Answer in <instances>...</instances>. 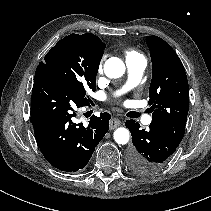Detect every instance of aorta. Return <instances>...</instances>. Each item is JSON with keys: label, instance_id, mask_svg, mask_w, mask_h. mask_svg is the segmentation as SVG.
<instances>
[{"label": "aorta", "instance_id": "obj_1", "mask_svg": "<svg viewBox=\"0 0 211 211\" xmlns=\"http://www.w3.org/2000/svg\"><path fill=\"white\" fill-rule=\"evenodd\" d=\"M104 72L109 78H120L125 73V64L121 59L111 57L104 64ZM129 138V131L124 127L117 128L114 131V140L118 144H126L129 141Z\"/></svg>", "mask_w": 211, "mask_h": 211}]
</instances>
